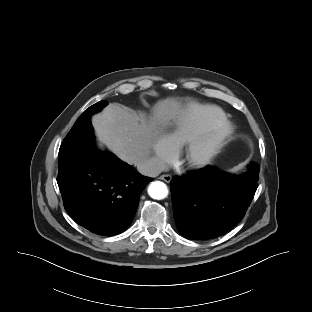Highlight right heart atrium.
I'll return each instance as SVG.
<instances>
[{
	"label": "right heart atrium",
	"instance_id": "obj_1",
	"mask_svg": "<svg viewBox=\"0 0 312 312\" xmlns=\"http://www.w3.org/2000/svg\"><path fill=\"white\" fill-rule=\"evenodd\" d=\"M151 149L155 156V165L162 167L171 160L174 155L175 148L164 134H157L150 143Z\"/></svg>",
	"mask_w": 312,
	"mask_h": 312
}]
</instances>
